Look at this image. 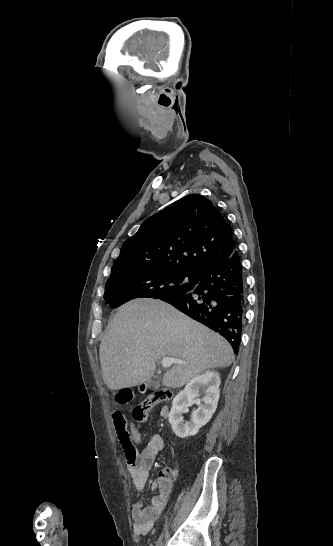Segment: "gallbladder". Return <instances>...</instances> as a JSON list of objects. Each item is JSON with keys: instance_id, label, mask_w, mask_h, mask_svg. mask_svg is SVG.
I'll list each match as a JSON object with an SVG mask.
<instances>
[{"instance_id": "1", "label": "gallbladder", "mask_w": 333, "mask_h": 546, "mask_svg": "<svg viewBox=\"0 0 333 546\" xmlns=\"http://www.w3.org/2000/svg\"><path fill=\"white\" fill-rule=\"evenodd\" d=\"M159 386H160V381L157 380V379H152V380H150V381L148 382V384H147V387H148L149 389H153V390H154V389H158Z\"/></svg>"}]
</instances>
